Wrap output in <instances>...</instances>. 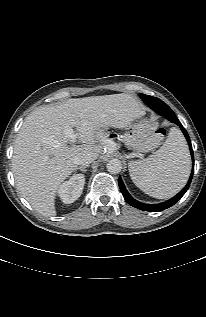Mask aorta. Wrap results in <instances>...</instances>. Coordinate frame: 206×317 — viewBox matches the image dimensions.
<instances>
[{
    "label": "aorta",
    "mask_w": 206,
    "mask_h": 317,
    "mask_svg": "<svg viewBox=\"0 0 206 317\" xmlns=\"http://www.w3.org/2000/svg\"><path fill=\"white\" fill-rule=\"evenodd\" d=\"M107 170L111 174H118L122 170V163L119 159H111L107 163Z\"/></svg>",
    "instance_id": "aorta-1"
}]
</instances>
